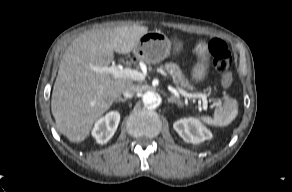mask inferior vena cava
Here are the masks:
<instances>
[{"label":"inferior vena cava","mask_w":292,"mask_h":192,"mask_svg":"<svg viewBox=\"0 0 292 192\" xmlns=\"http://www.w3.org/2000/svg\"><path fill=\"white\" fill-rule=\"evenodd\" d=\"M138 92V87L135 84H128L122 91L125 98H131Z\"/></svg>","instance_id":"obj_1"}]
</instances>
